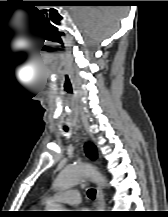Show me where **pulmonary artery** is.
I'll return each mask as SVG.
<instances>
[{
  "label": "pulmonary artery",
  "instance_id": "pulmonary-artery-1",
  "mask_svg": "<svg viewBox=\"0 0 168 217\" xmlns=\"http://www.w3.org/2000/svg\"><path fill=\"white\" fill-rule=\"evenodd\" d=\"M45 203H52V202H61L68 205H78L81 202L80 193L75 190H69L64 193L56 194L50 197H47L44 200Z\"/></svg>",
  "mask_w": 168,
  "mask_h": 217
}]
</instances>
